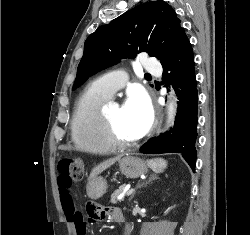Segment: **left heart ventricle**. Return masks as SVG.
I'll return each mask as SVG.
<instances>
[{
    "mask_svg": "<svg viewBox=\"0 0 250 235\" xmlns=\"http://www.w3.org/2000/svg\"><path fill=\"white\" fill-rule=\"evenodd\" d=\"M107 112L112 117L117 132L122 140L134 141L140 137L134 128L132 119L126 113L124 107L117 106L109 109Z\"/></svg>",
    "mask_w": 250,
    "mask_h": 235,
    "instance_id": "obj_1",
    "label": "left heart ventricle"
}]
</instances>
